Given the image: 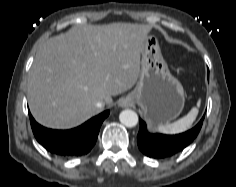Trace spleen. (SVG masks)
<instances>
[{
    "label": "spleen",
    "instance_id": "3e777b00",
    "mask_svg": "<svg viewBox=\"0 0 236 187\" xmlns=\"http://www.w3.org/2000/svg\"><path fill=\"white\" fill-rule=\"evenodd\" d=\"M200 104L201 100L199 99L197 107H193L186 116L174 123L159 125L157 130L164 134H178L188 130L198 115Z\"/></svg>",
    "mask_w": 236,
    "mask_h": 187
}]
</instances>
